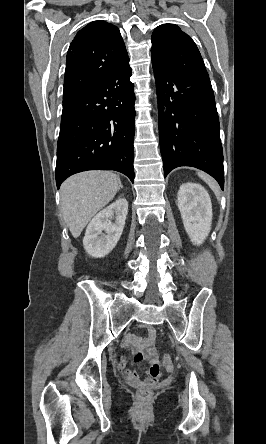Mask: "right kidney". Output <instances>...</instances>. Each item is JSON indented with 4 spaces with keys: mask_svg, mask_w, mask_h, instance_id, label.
Here are the masks:
<instances>
[{
    "mask_svg": "<svg viewBox=\"0 0 266 444\" xmlns=\"http://www.w3.org/2000/svg\"><path fill=\"white\" fill-rule=\"evenodd\" d=\"M127 213V200L119 198L91 220L83 239L84 249L90 256L105 257L113 250L122 235ZM114 216L115 223H112Z\"/></svg>",
    "mask_w": 266,
    "mask_h": 444,
    "instance_id": "1",
    "label": "right kidney"
}]
</instances>
